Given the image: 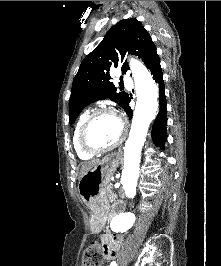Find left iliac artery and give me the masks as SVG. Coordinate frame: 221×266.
Listing matches in <instances>:
<instances>
[{
    "instance_id": "44dca946",
    "label": "left iliac artery",
    "mask_w": 221,
    "mask_h": 266,
    "mask_svg": "<svg viewBox=\"0 0 221 266\" xmlns=\"http://www.w3.org/2000/svg\"><path fill=\"white\" fill-rule=\"evenodd\" d=\"M110 266H117V264L115 261H113Z\"/></svg>"
}]
</instances>
